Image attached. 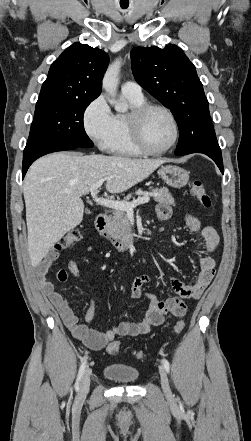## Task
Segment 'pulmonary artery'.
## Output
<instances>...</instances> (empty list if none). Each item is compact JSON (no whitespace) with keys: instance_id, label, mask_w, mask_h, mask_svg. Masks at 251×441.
<instances>
[{"instance_id":"e3ab8cb5","label":"pulmonary artery","mask_w":251,"mask_h":441,"mask_svg":"<svg viewBox=\"0 0 251 441\" xmlns=\"http://www.w3.org/2000/svg\"><path fill=\"white\" fill-rule=\"evenodd\" d=\"M121 90L123 94L132 95V96H142V88L135 81H126L122 84Z\"/></svg>"}]
</instances>
